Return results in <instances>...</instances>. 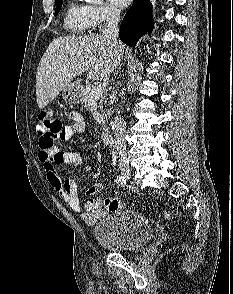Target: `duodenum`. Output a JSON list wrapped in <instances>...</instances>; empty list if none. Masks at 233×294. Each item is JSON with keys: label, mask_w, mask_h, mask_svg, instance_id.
I'll return each mask as SVG.
<instances>
[{"label": "duodenum", "mask_w": 233, "mask_h": 294, "mask_svg": "<svg viewBox=\"0 0 233 294\" xmlns=\"http://www.w3.org/2000/svg\"><path fill=\"white\" fill-rule=\"evenodd\" d=\"M101 138H102V142L107 146L112 145L114 142L112 134L108 130L102 131Z\"/></svg>", "instance_id": "duodenum-1"}]
</instances>
